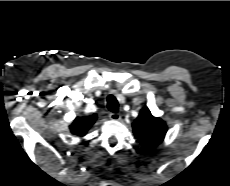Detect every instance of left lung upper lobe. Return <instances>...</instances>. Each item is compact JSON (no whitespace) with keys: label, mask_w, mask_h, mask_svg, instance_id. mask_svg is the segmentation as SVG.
Segmentation results:
<instances>
[{"label":"left lung upper lobe","mask_w":230,"mask_h":186,"mask_svg":"<svg viewBox=\"0 0 230 186\" xmlns=\"http://www.w3.org/2000/svg\"><path fill=\"white\" fill-rule=\"evenodd\" d=\"M132 126L134 134L144 149L160 144L167 131L165 122L158 117H154L148 108L141 110Z\"/></svg>","instance_id":"obj_1"}]
</instances>
